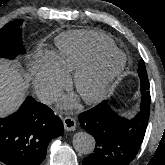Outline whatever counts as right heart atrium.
Instances as JSON below:
<instances>
[{"label": "right heart atrium", "instance_id": "d8ad5b80", "mask_svg": "<svg viewBox=\"0 0 165 165\" xmlns=\"http://www.w3.org/2000/svg\"><path fill=\"white\" fill-rule=\"evenodd\" d=\"M66 72L49 54L40 56L39 65L34 77V85L38 93L46 100L56 96L67 84Z\"/></svg>", "mask_w": 165, "mask_h": 165}]
</instances>
